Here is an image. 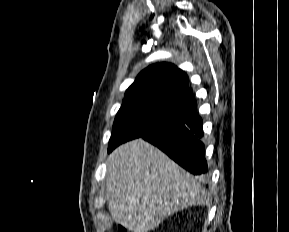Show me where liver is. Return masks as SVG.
Masks as SVG:
<instances>
[{
	"label": "liver",
	"instance_id": "1",
	"mask_svg": "<svg viewBox=\"0 0 289 232\" xmlns=\"http://www.w3.org/2000/svg\"><path fill=\"white\" fill-rule=\"evenodd\" d=\"M106 198L117 223L132 232H148L175 212L204 204L206 193L197 178L139 138L109 155Z\"/></svg>",
	"mask_w": 289,
	"mask_h": 232
}]
</instances>
